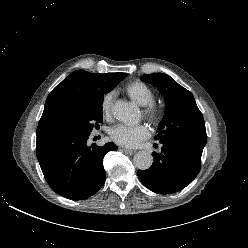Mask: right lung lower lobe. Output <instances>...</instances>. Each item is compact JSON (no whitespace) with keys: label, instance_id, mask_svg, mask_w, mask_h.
Masks as SVG:
<instances>
[{"label":"right lung lower lobe","instance_id":"98d812e1","mask_svg":"<svg viewBox=\"0 0 248 248\" xmlns=\"http://www.w3.org/2000/svg\"><path fill=\"white\" fill-rule=\"evenodd\" d=\"M90 133L55 128L37 134L36 155L49 186L57 194L82 200L104 184L103 157L116 150L114 143L88 145Z\"/></svg>","mask_w":248,"mask_h":248}]
</instances>
